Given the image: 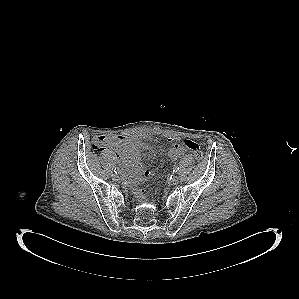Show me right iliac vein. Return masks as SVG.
I'll return each mask as SVG.
<instances>
[{"label": "right iliac vein", "mask_w": 299, "mask_h": 299, "mask_svg": "<svg viewBox=\"0 0 299 299\" xmlns=\"http://www.w3.org/2000/svg\"><path fill=\"white\" fill-rule=\"evenodd\" d=\"M112 178H113V180H115V181H120V177H119V175H112Z\"/></svg>", "instance_id": "63e3f726"}]
</instances>
